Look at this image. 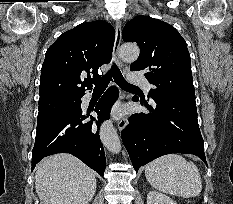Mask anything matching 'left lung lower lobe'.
<instances>
[{
	"instance_id": "obj_1",
	"label": "left lung lower lobe",
	"mask_w": 233,
	"mask_h": 204,
	"mask_svg": "<svg viewBox=\"0 0 233 204\" xmlns=\"http://www.w3.org/2000/svg\"><path fill=\"white\" fill-rule=\"evenodd\" d=\"M152 99L153 107L140 99L151 113L132 115L122 131L134 169L137 171L150 161L171 153L194 154L207 165L195 99L169 95ZM133 101L138 98L134 97Z\"/></svg>"
}]
</instances>
